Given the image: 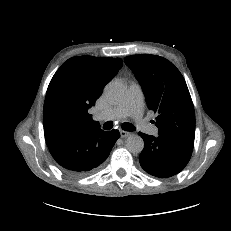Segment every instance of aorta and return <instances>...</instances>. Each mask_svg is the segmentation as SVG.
I'll return each instance as SVG.
<instances>
[{
    "label": "aorta",
    "mask_w": 231,
    "mask_h": 231,
    "mask_svg": "<svg viewBox=\"0 0 231 231\" xmlns=\"http://www.w3.org/2000/svg\"><path fill=\"white\" fill-rule=\"evenodd\" d=\"M105 97L112 103H120L126 97V87L120 81H111L104 89ZM126 148L134 154L140 153L144 148V141L139 135H130L126 139Z\"/></svg>",
    "instance_id": "obj_1"
}]
</instances>
